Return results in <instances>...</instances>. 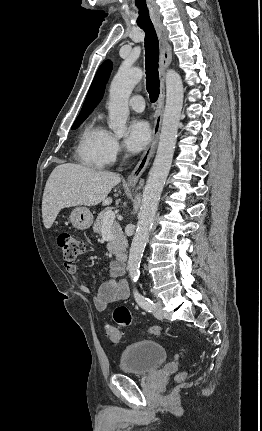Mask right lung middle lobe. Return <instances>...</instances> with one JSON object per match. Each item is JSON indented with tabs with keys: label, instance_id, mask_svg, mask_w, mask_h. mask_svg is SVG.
Here are the masks:
<instances>
[{
	"label": "right lung middle lobe",
	"instance_id": "right-lung-middle-lobe-1",
	"mask_svg": "<svg viewBox=\"0 0 262 431\" xmlns=\"http://www.w3.org/2000/svg\"><path fill=\"white\" fill-rule=\"evenodd\" d=\"M87 118V116H80L77 117V119L75 120L73 126H72V130L78 128L80 126V124Z\"/></svg>",
	"mask_w": 262,
	"mask_h": 431
}]
</instances>
